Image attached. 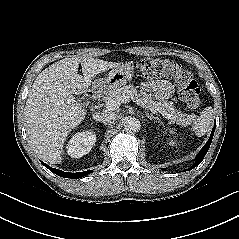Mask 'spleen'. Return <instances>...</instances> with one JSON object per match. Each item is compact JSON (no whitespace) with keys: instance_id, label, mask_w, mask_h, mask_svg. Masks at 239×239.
<instances>
[{"instance_id":"1","label":"spleen","mask_w":239,"mask_h":239,"mask_svg":"<svg viewBox=\"0 0 239 239\" xmlns=\"http://www.w3.org/2000/svg\"><path fill=\"white\" fill-rule=\"evenodd\" d=\"M213 121V109L212 107H206L200 114V117L197 119L195 125L191 128L197 136H202L206 134L211 123ZM171 134L175 132L173 130L169 131Z\"/></svg>"}]
</instances>
